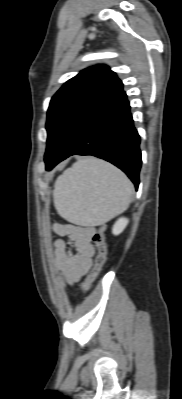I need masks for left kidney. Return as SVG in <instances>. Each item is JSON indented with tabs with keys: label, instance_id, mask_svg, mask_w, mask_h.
I'll return each mask as SVG.
<instances>
[{
	"label": "left kidney",
	"instance_id": "1",
	"mask_svg": "<svg viewBox=\"0 0 182 399\" xmlns=\"http://www.w3.org/2000/svg\"><path fill=\"white\" fill-rule=\"evenodd\" d=\"M128 223H129V220L127 218H124V217L119 218L113 225L112 233L114 235L121 234L124 231V229L126 228Z\"/></svg>",
	"mask_w": 182,
	"mask_h": 399
}]
</instances>
